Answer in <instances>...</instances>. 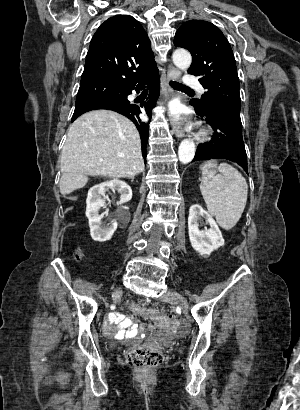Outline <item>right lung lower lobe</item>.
I'll return each instance as SVG.
<instances>
[{"mask_svg":"<svg viewBox=\"0 0 300 410\" xmlns=\"http://www.w3.org/2000/svg\"><path fill=\"white\" fill-rule=\"evenodd\" d=\"M158 79H159V76H155L150 79H147L143 83H140V84H137L131 87L126 92V96H128L129 94L132 93V90L135 89L137 92H139L143 88V86L146 84H150L153 86V88H151V93L149 95L148 101L143 102L140 105L141 107L145 109L148 117H151L152 115V109L154 107L155 97L158 94L157 93L159 90ZM95 109H108V110L116 111L128 117L135 124V126L137 127L140 133L141 144H142V155L144 157V161H146V146H147L148 136H149V123H145L141 120L139 116L141 113L139 106L131 104L128 100L121 101V100L111 99V98L93 99V100H89L83 103L76 104L75 111L72 116V121H74L81 114L88 112L90 110H95Z\"/></svg>","mask_w":300,"mask_h":410,"instance_id":"obj_1","label":"right lung lower lobe"}]
</instances>
